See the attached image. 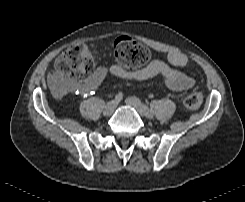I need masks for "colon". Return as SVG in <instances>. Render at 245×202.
Instances as JSON below:
<instances>
[{
  "label": "colon",
  "instance_id": "obj_1",
  "mask_svg": "<svg viewBox=\"0 0 245 202\" xmlns=\"http://www.w3.org/2000/svg\"><path fill=\"white\" fill-rule=\"evenodd\" d=\"M113 48L118 64L128 70L145 66L151 57L147 46L128 35L118 37ZM94 66V59L87 46L83 43L74 44L56 59L54 83L62 90H74L75 80L89 75ZM202 98V92L191 93L184 100V108L196 110L201 105Z\"/></svg>",
  "mask_w": 245,
  "mask_h": 202
}]
</instances>
